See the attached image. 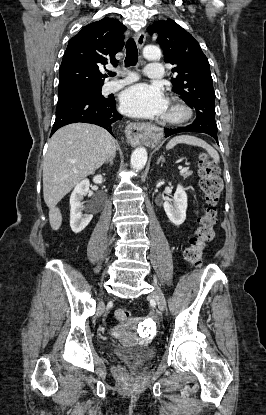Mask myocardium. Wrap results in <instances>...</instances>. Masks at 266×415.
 Segmentation results:
<instances>
[{
    "mask_svg": "<svg viewBox=\"0 0 266 415\" xmlns=\"http://www.w3.org/2000/svg\"><path fill=\"white\" fill-rule=\"evenodd\" d=\"M170 113L164 114L162 123L171 126L181 125L192 117V109L180 98L174 97L170 102Z\"/></svg>",
    "mask_w": 266,
    "mask_h": 415,
    "instance_id": "1",
    "label": "myocardium"
}]
</instances>
